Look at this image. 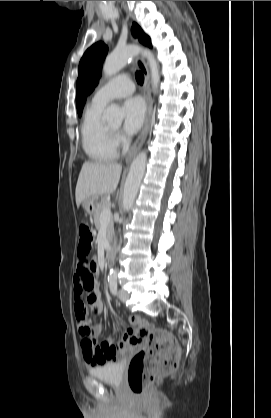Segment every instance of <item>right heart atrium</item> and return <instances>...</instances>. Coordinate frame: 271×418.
Returning a JSON list of instances; mask_svg holds the SVG:
<instances>
[{
    "label": "right heart atrium",
    "mask_w": 271,
    "mask_h": 418,
    "mask_svg": "<svg viewBox=\"0 0 271 418\" xmlns=\"http://www.w3.org/2000/svg\"><path fill=\"white\" fill-rule=\"evenodd\" d=\"M116 143L125 145L126 144V139L124 137H122L120 134H118L116 136Z\"/></svg>",
    "instance_id": "obj_1"
}]
</instances>
